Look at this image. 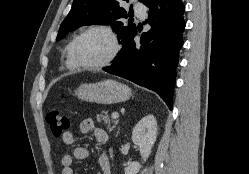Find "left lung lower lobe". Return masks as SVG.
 Instances as JSON below:
<instances>
[{
    "label": "left lung lower lobe",
    "instance_id": "1",
    "mask_svg": "<svg viewBox=\"0 0 249 174\" xmlns=\"http://www.w3.org/2000/svg\"><path fill=\"white\" fill-rule=\"evenodd\" d=\"M145 5L151 29L142 34L140 44L133 40L137 31L124 41L114 65L104 71L155 91L172 109L185 7L182 0H149Z\"/></svg>",
    "mask_w": 249,
    "mask_h": 174
}]
</instances>
